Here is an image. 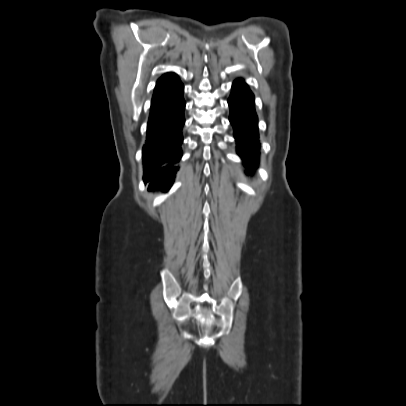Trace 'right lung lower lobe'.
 I'll list each match as a JSON object with an SVG mask.
<instances>
[{"mask_svg":"<svg viewBox=\"0 0 406 406\" xmlns=\"http://www.w3.org/2000/svg\"><path fill=\"white\" fill-rule=\"evenodd\" d=\"M183 84L176 74L169 73L158 81L152 97L143 146L144 181L154 180L152 188L169 189L175 178L176 163L182 156Z\"/></svg>","mask_w":406,"mask_h":406,"instance_id":"obj_1","label":"right lung lower lobe"}]
</instances>
